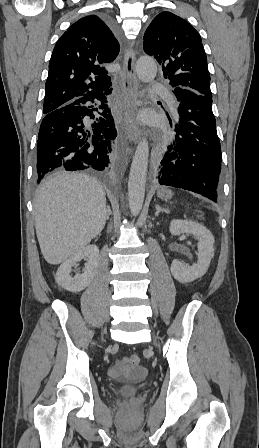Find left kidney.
<instances>
[{
  "mask_svg": "<svg viewBox=\"0 0 259 448\" xmlns=\"http://www.w3.org/2000/svg\"><path fill=\"white\" fill-rule=\"evenodd\" d=\"M170 232L172 236H180V234H193L199 240L198 246V260L197 264L193 266H185L179 260H173L171 264V274L175 280L180 284H189L198 280L201 276L206 274L210 262L214 256L213 244L215 242L211 232L196 222H187V220H172L170 222Z\"/></svg>",
  "mask_w": 259,
  "mask_h": 448,
  "instance_id": "1",
  "label": "left kidney"
}]
</instances>
